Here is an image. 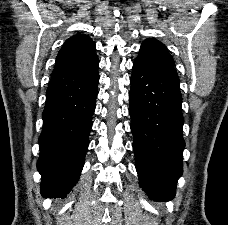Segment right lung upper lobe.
Returning a JSON list of instances; mask_svg holds the SVG:
<instances>
[{"instance_id": "right-lung-upper-lobe-1", "label": "right lung upper lobe", "mask_w": 228, "mask_h": 225, "mask_svg": "<svg viewBox=\"0 0 228 225\" xmlns=\"http://www.w3.org/2000/svg\"><path fill=\"white\" fill-rule=\"evenodd\" d=\"M95 55V43L87 35H74L67 39L60 49L55 67L79 63Z\"/></svg>"}]
</instances>
